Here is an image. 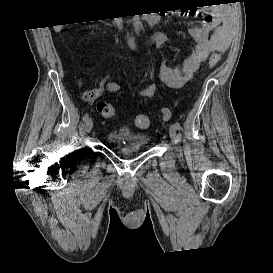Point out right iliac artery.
Returning a JSON list of instances; mask_svg holds the SVG:
<instances>
[{"label":"right iliac artery","mask_w":273,"mask_h":273,"mask_svg":"<svg viewBox=\"0 0 273 273\" xmlns=\"http://www.w3.org/2000/svg\"><path fill=\"white\" fill-rule=\"evenodd\" d=\"M89 117V114L88 113H85L84 116H83V120L86 121Z\"/></svg>","instance_id":"1"}]
</instances>
